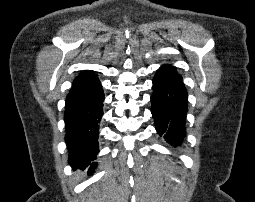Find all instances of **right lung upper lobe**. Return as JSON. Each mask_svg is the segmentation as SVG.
Masks as SVG:
<instances>
[{"mask_svg": "<svg viewBox=\"0 0 255 202\" xmlns=\"http://www.w3.org/2000/svg\"><path fill=\"white\" fill-rule=\"evenodd\" d=\"M97 78L93 71H87L85 73L80 74L73 81V85L81 84L89 81H93Z\"/></svg>", "mask_w": 255, "mask_h": 202, "instance_id": "1", "label": "right lung upper lobe"}]
</instances>
